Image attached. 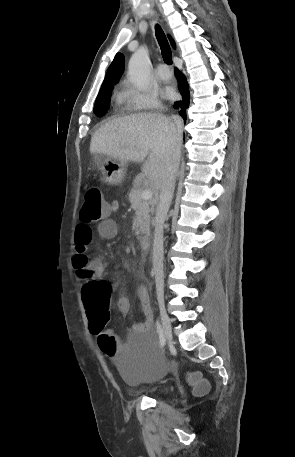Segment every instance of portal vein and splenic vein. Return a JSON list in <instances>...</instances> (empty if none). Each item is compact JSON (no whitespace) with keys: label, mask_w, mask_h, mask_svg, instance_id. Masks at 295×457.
<instances>
[{"label":"portal vein and splenic vein","mask_w":295,"mask_h":457,"mask_svg":"<svg viewBox=\"0 0 295 457\" xmlns=\"http://www.w3.org/2000/svg\"><path fill=\"white\" fill-rule=\"evenodd\" d=\"M141 196L144 200H150L153 196V192L151 189H145L143 190Z\"/></svg>","instance_id":"portal-vein-and-splenic-vein-1"}]
</instances>
